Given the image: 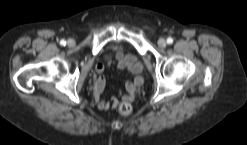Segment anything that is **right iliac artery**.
I'll return each mask as SVG.
<instances>
[{"label":"right iliac artery","instance_id":"1","mask_svg":"<svg viewBox=\"0 0 247 145\" xmlns=\"http://www.w3.org/2000/svg\"><path fill=\"white\" fill-rule=\"evenodd\" d=\"M60 44H61L62 46H65V45H66V41H65V40H61V41H60Z\"/></svg>","mask_w":247,"mask_h":145}]
</instances>
